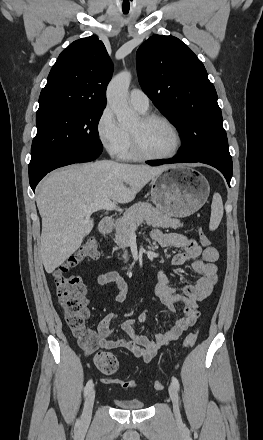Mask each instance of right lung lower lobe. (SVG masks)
Returning <instances> with one entry per match:
<instances>
[{
	"mask_svg": "<svg viewBox=\"0 0 263 440\" xmlns=\"http://www.w3.org/2000/svg\"><path fill=\"white\" fill-rule=\"evenodd\" d=\"M101 152H102V145L92 146V147H88V148L83 149L80 152V158L77 160H70L64 154L60 155L56 159L52 160L45 168H43L42 170L29 176L30 186H31L32 190L35 192L36 185L50 171H52L56 168L62 167V166L69 165V164L93 161L101 154Z\"/></svg>",
	"mask_w": 263,
	"mask_h": 440,
	"instance_id": "obj_1",
	"label": "right lung lower lobe"
}]
</instances>
